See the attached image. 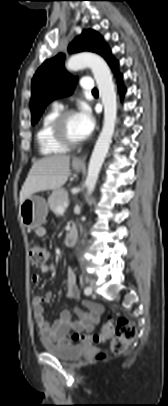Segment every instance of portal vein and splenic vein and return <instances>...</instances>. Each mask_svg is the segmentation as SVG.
<instances>
[{
	"instance_id": "1",
	"label": "portal vein and splenic vein",
	"mask_w": 168,
	"mask_h": 406,
	"mask_svg": "<svg viewBox=\"0 0 168 406\" xmlns=\"http://www.w3.org/2000/svg\"><path fill=\"white\" fill-rule=\"evenodd\" d=\"M66 207H68V204H64L63 206H58L57 207V212L58 213H64Z\"/></svg>"
}]
</instances>
